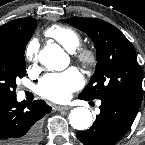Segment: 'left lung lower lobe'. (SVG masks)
<instances>
[{
    "mask_svg": "<svg viewBox=\"0 0 145 145\" xmlns=\"http://www.w3.org/2000/svg\"><path fill=\"white\" fill-rule=\"evenodd\" d=\"M101 101V112L90 129L77 132L84 145H115L129 130L139 110V106L123 100Z\"/></svg>",
    "mask_w": 145,
    "mask_h": 145,
    "instance_id": "obj_1",
    "label": "left lung lower lobe"
}]
</instances>
